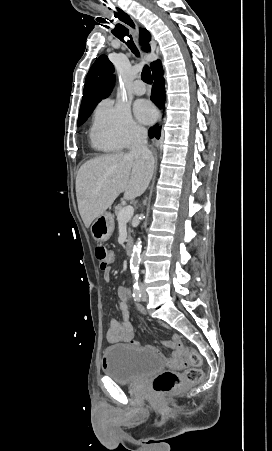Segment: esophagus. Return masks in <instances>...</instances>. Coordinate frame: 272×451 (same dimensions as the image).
I'll use <instances>...</instances> for the list:
<instances>
[{
	"instance_id": "esophagus-1",
	"label": "esophagus",
	"mask_w": 272,
	"mask_h": 451,
	"mask_svg": "<svg viewBox=\"0 0 272 451\" xmlns=\"http://www.w3.org/2000/svg\"><path fill=\"white\" fill-rule=\"evenodd\" d=\"M131 21H132V24L131 25H133V24H135V22L133 21V19H131V18H129ZM130 25V24H129Z\"/></svg>"
}]
</instances>
